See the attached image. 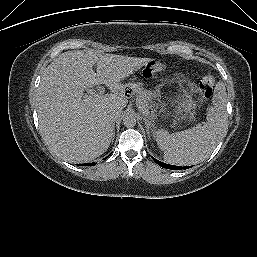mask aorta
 Here are the masks:
<instances>
[{"instance_id": "762f6f07", "label": "aorta", "mask_w": 257, "mask_h": 257, "mask_svg": "<svg viewBox=\"0 0 257 257\" xmlns=\"http://www.w3.org/2000/svg\"><path fill=\"white\" fill-rule=\"evenodd\" d=\"M137 122V116L135 112H128L123 117V123L126 127H134Z\"/></svg>"}]
</instances>
